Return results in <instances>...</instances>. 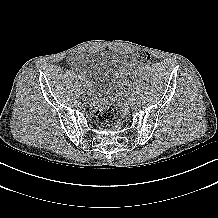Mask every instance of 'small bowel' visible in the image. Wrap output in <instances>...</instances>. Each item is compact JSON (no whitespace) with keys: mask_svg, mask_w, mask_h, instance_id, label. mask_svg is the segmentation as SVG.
<instances>
[{"mask_svg":"<svg viewBox=\"0 0 218 218\" xmlns=\"http://www.w3.org/2000/svg\"><path fill=\"white\" fill-rule=\"evenodd\" d=\"M68 63L72 66H75L77 64V57L71 55L70 57H68Z\"/></svg>","mask_w":218,"mask_h":218,"instance_id":"1","label":"small bowel"}]
</instances>
